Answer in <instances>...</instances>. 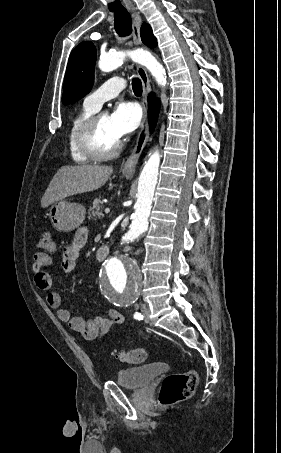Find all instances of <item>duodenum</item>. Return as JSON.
Segmentation results:
<instances>
[{
	"instance_id": "obj_1",
	"label": "duodenum",
	"mask_w": 281,
	"mask_h": 453,
	"mask_svg": "<svg viewBox=\"0 0 281 453\" xmlns=\"http://www.w3.org/2000/svg\"><path fill=\"white\" fill-rule=\"evenodd\" d=\"M109 255V248L106 245L100 246L96 251V258L98 261L105 260Z\"/></svg>"
}]
</instances>
